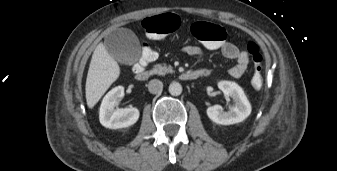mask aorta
<instances>
[{"instance_id": "obj_1", "label": "aorta", "mask_w": 337, "mask_h": 171, "mask_svg": "<svg viewBox=\"0 0 337 171\" xmlns=\"http://www.w3.org/2000/svg\"><path fill=\"white\" fill-rule=\"evenodd\" d=\"M169 93L172 96H179L182 93V86L179 82H172L169 85Z\"/></svg>"}]
</instances>
